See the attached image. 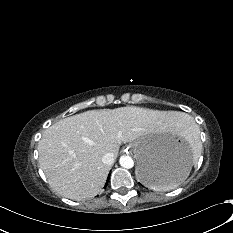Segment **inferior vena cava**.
Segmentation results:
<instances>
[{
    "label": "inferior vena cava",
    "instance_id": "1",
    "mask_svg": "<svg viewBox=\"0 0 233 233\" xmlns=\"http://www.w3.org/2000/svg\"><path fill=\"white\" fill-rule=\"evenodd\" d=\"M102 162L106 165L111 166L114 163V154L113 153H106L103 158Z\"/></svg>",
    "mask_w": 233,
    "mask_h": 233
}]
</instances>
